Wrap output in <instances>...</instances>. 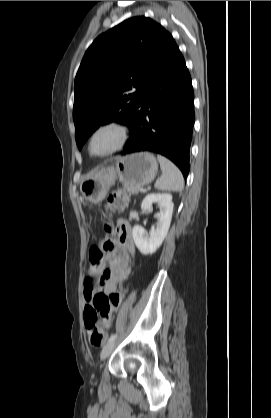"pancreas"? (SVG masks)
I'll use <instances>...</instances> for the list:
<instances>
[{"label":"pancreas","instance_id":"pancreas-1","mask_svg":"<svg viewBox=\"0 0 271 418\" xmlns=\"http://www.w3.org/2000/svg\"><path fill=\"white\" fill-rule=\"evenodd\" d=\"M123 186L130 194H138L139 191L141 190V186L134 185L131 183L124 182Z\"/></svg>","mask_w":271,"mask_h":418}]
</instances>
